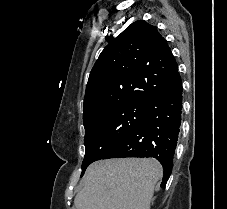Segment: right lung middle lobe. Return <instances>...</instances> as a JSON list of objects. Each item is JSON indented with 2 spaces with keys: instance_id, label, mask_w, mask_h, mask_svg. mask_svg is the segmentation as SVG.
<instances>
[{
  "instance_id": "1",
  "label": "right lung middle lobe",
  "mask_w": 227,
  "mask_h": 209,
  "mask_svg": "<svg viewBox=\"0 0 227 209\" xmlns=\"http://www.w3.org/2000/svg\"><path fill=\"white\" fill-rule=\"evenodd\" d=\"M103 111L84 120L85 157L82 174L94 161L102 159L141 120L145 103L107 98L101 100Z\"/></svg>"
}]
</instances>
